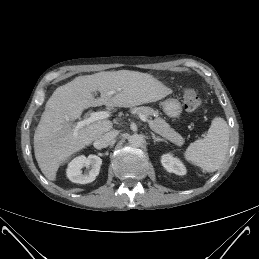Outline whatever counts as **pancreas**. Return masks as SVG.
I'll list each match as a JSON object with an SVG mask.
<instances>
[{"mask_svg":"<svg viewBox=\"0 0 259 259\" xmlns=\"http://www.w3.org/2000/svg\"><path fill=\"white\" fill-rule=\"evenodd\" d=\"M132 111L135 113L144 114L146 117L154 116V120L150 119L148 121L150 128L154 132L161 135L162 137H164L165 139L169 140L177 146H182L184 144V138L173 128H171L170 125L164 119L159 117L158 111H155L152 108L146 106L135 107Z\"/></svg>","mask_w":259,"mask_h":259,"instance_id":"1","label":"pancreas"}]
</instances>
